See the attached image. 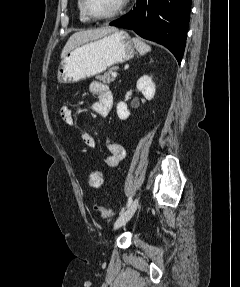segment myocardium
<instances>
[{
    "instance_id": "myocardium-1",
    "label": "myocardium",
    "mask_w": 240,
    "mask_h": 287,
    "mask_svg": "<svg viewBox=\"0 0 240 287\" xmlns=\"http://www.w3.org/2000/svg\"><path fill=\"white\" fill-rule=\"evenodd\" d=\"M128 1L129 0H120L117 7L112 12H110L109 14L103 15V16L95 15L90 10L88 0H82V7L84 10V13L87 15L89 19L94 20V21H107L118 16L125 9Z\"/></svg>"
}]
</instances>
